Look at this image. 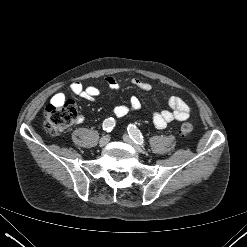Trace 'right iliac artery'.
<instances>
[{"label": "right iliac artery", "mask_w": 247, "mask_h": 247, "mask_svg": "<svg viewBox=\"0 0 247 247\" xmlns=\"http://www.w3.org/2000/svg\"><path fill=\"white\" fill-rule=\"evenodd\" d=\"M115 120L114 118H108L103 122V129L107 132H110L115 127Z\"/></svg>", "instance_id": "right-iliac-artery-1"}]
</instances>
